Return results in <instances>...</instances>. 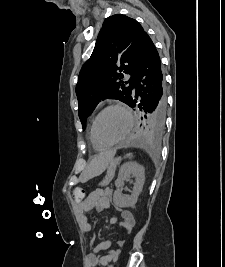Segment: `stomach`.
Segmentation results:
<instances>
[{
  "label": "stomach",
  "mask_w": 225,
  "mask_h": 267,
  "mask_svg": "<svg viewBox=\"0 0 225 267\" xmlns=\"http://www.w3.org/2000/svg\"><path fill=\"white\" fill-rule=\"evenodd\" d=\"M113 160L112 153H102L98 155L90 164L89 177L100 175Z\"/></svg>",
  "instance_id": "stomach-1"
}]
</instances>
